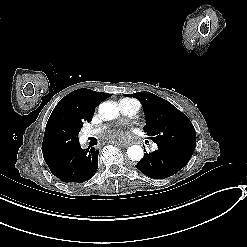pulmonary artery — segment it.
<instances>
[{
    "instance_id": "e3ab8cb5",
    "label": "pulmonary artery",
    "mask_w": 247,
    "mask_h": 247,
    "mask_svg": "<svg viewBox=\"0 0 247 247\" xmlns=\"http://www.w3.org/2000/svg\"><path fill=\"white\" fill-rule=\"evenodd\" d=\"M135 109H136V107L133 106V105H127V106L122 107V111H123L124 113H132V112L135 111ZM105 127H106L107 129H110V128L112 127V124H111L110 122H107V123L105 124ZM95 131H96L97 133H101V132L103 131V128H102L101 126H97V127L95 128ZM149 149H150L151 152L156 153V152L159 151L160 146H159L158 143L153 142V143L150 144Z\"/></svg>"
}]
</instances>
